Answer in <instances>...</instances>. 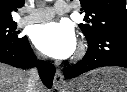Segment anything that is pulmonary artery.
Masks as SVG:
<instances>
[{
	"label": "pulmonary artery",
	"instance_id": "1",
	"mask_svg": "<svg viewBox=\"0 0 127 92\" xmlns=\"http://www.w3.org/2000/svg\"><path fill=\"white\" fill-rule=\"evenodd\" d=\"M69 7L64 1H57L54 7H40L28 12V15L19 20L20 25H27L37 22H43L51 19L55 13H68Z\"/></svg>",
	"mask_w": 127,
	"mask_h": 92
}]
</instances>
